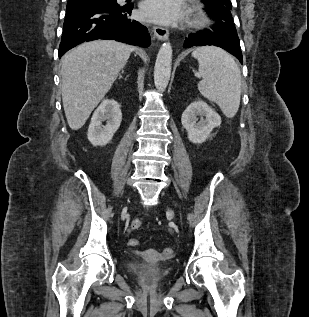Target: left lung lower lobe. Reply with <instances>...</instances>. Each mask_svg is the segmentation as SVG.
Wrapping results in <instances>:
<instances>
[{"mask_svg": "<svg viewBox=\"0 0 309 317\" xmlns=\"http://www.w3.org/2000/svg\"><path fill=\"white\" fill-rule=\"evenodd\" d=\"M205 45L221 47L230 54L234 55L241 63H243V57L237 33H233L231 31H218L216 28H213V31L207 30L198 32V34L188 35L183 47L189 48L192 46Z\"/></svg>", "mask_w": 309, "mask_h": 317, "instance_id": "0a47b994", "label": "left lung lower lobe"}]
</instances>
